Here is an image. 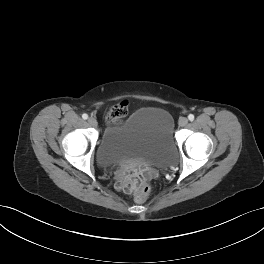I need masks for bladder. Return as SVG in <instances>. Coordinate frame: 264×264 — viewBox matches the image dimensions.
I'll return each mask as SVG.
<instances>
[{
  "label": "bladder",
  "instance_id": "bladder-1",
  "mask_svg": "<svg viewBox=\"0 0 264 264\" xmlns=\"http://www.w3.org/2000/svg\"><path fill=\"white\" fill-rule=\"evenodd\" d=\"M173 156L171 118L154 107L140 108L122 124L109 128L96 151L98 163L111 169L133 162L163 166Z\"/></svg>",
  "mask_w": 264,
  "mask_h": 264
}]
</instances>
